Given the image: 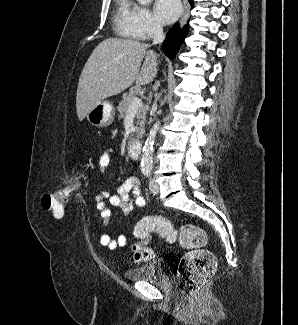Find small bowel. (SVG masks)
Segmentation results:
<instances>
[{
    "mask_svg": "<svg viewBox=\"0 0 298 325\" xmlns=\"http://www.w3.org/2000/svg\"><path fill=\"white\" fill-rule=\"evenodd\" d=\"M113 153L114 149L108 147L99 157L98 162L102 176L106 175V170L111 163ZM106 201H109L111 207L120 208L127 216L132 215L134 211L141 209L145 205V199L141 195L139 182L133 176L123 182L117 194H111L109 191L103 190L96 195L95 206L105 224L108 223L111 216V210ZM100 244L114 250L118 247H124L127 244V237L121 234L114 239L105 233L100 237Z\"/></svg>",
    "mask_w": 298,
    "mask_h": 325,
    "instance_id": "1",
    "label": "small bowel"
}]
</instances>
